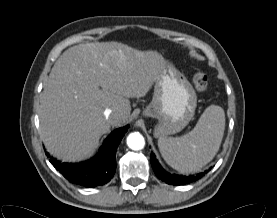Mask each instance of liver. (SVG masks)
<instances>
[{
    "instance_id": "6515ba94",
    "label": "liver",
    "mask_w": 277,
    "mask_h": 218,
    "mask_svg": "<svg viewBox=\"0 0 277 218\" xmlns=\"http://www.w3.org/2000/svg\"><path fill=\"white\" fill-rule=\"evenodd\" d=\"M167 61L156 51H139L118 42L68 48L44 85L38 115L47 150L63 161L88 158L111 126L125 124L130 98L144 97ZM113 116L107 119L105 109Z\"/></svg>"
}]
</instances>
